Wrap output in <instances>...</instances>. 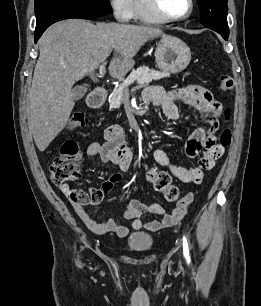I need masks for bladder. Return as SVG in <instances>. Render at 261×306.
I'll list each match as a JSON object with an SVG mask.
<instances>
[{
  "label": "bladder",
  "mask_w": 261,
  "mask_h": 306,
  "mask_svg": "<svg viewBox=\"0 0 261 306\" xmlns=\"http://www.w3.org/2000/svg\"><path fill=\"white\" fill-rule=\"evenodd\" d=\"M127 245L133 251L146 252L151 249L153 238L148 233L136 232L128 237Z\"/></svg>",
  "instance_id": "31cf9c89"
}]
</instances>
